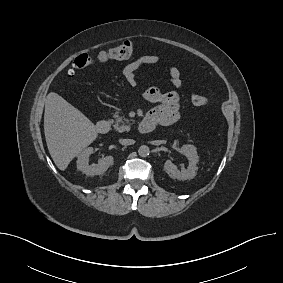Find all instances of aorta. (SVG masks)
<instances>
[{
  "instance_id": "obj_1",
  "label": "aorta",
  "mask_w": 283,
  "mask_h": 283,
  "mask_svg": "<svg viewBox=\"0 0 283 283\" xmlns=\"http://www.w3.org/2000/svg\"><path fill=\"white\" fill-rule=\"evenodd\" d=\"M138 153L141 157H147L150 154V148L147 145H142L139 147Z\"/></svg>"
}]
</instances>
